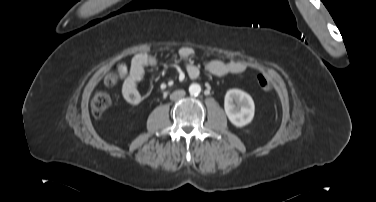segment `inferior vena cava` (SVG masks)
Returning <instances> with one entry per match:
<instances>
[{
  "label": "inferior vena cava",
  "instance_id": "obj_1",
  "mask_svg": "<svg viewBox=\"0 0 376 202\" xmlns=\"http://www.w3.org/2000/svg\"><path fill=\"white\" fill-rule=\"evenodd\" d=\"M185 95V92L183 90L177 91L171 95V99L175 100L177 98L183 97Z\"/></svg>",
  "mask_w": 376,
  "mask_h": 202
}]
</instances>
